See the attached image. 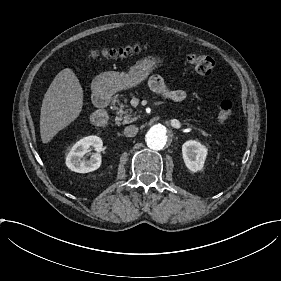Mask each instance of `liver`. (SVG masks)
Listing matches in <instances>:
<instances>
[{"label": "liver", "mask_w": 281, "mask_h": 281, "mask_svg": "<svg viewBox=\"0 0 281 281\" xmlns=\"http://www.w3.org/2000/svg\"><path fill=\"white\" fill-rule=\"evenodd\" d=\"M83 89L70 68L60 71L44 95L40 113V135L48 143L80 115Z\"/></svg>", "instance_id": "6515ba94"}]
</instances>
